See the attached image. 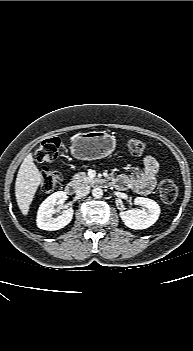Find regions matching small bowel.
<instances>
[{"label": "small bowel", "mask_w": 193, "mask_h": 351, "mask_svg": "<svg viewBox=\"0 0 193 351\" xmlns=\"http://www.w3.org/2000/svg\"><path fill=\"white\" fill-rule=\"evenodd\" d=\"M159 173V163L152 155L143 159V168L135 175L123 174L116 179V184L121 188H128L134 192L146 195L155 187Z\"/></svg>", "instance_id": "c3829d8e"}]
</instances>
